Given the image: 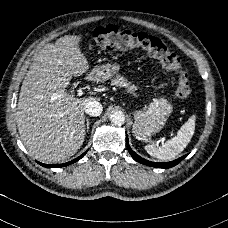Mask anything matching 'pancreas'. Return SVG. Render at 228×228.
<instances>
[{
    "mask_svg": "<svg viewBox=\"0 0 228 228\" xmlns=\"http://www.w3.org/2000/svg\"><path fill=\"white\" fill-rule=\"evenodd\" d=\"M111 85L124 87L130 93H133L134 91L137 90V87L135 85H133L130 82H128V80L125 77L121 76V75H117L116 78L112 79L111 80Z\"/></svg>",
    "mask_w": 228,
    "mask_h": 228,
    "instance_id": "cf45deb5",
    "label": "pancreas"
}]
</instances>
